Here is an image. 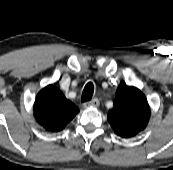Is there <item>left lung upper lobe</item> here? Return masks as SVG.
<instances>
[{"mask_svg":"<svg viewBox=\"0 0 173 170\" xmlns=\"http://www.w3.org/2000/svg\"><path fill=\"white\" fill-rule=\"evenodd\" d=\"M150 118V108L145 95L132 86L120 85L116 92L114 107L108 121L114 132L130 138L144 130Z\"/></svg>","mask_w":173,"mask_h":170,"instance_id":"1","label":"left lung upper lobe"}]
</instances>
